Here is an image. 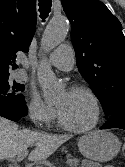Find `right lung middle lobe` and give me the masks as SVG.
Returning <instances> with one entry per match:
<instances>
[{
	"label": "right lung middle lobe",
	"instance_id": "dd1d6c3e",
	"mask_svg": "<svg viewBox=\"0 0 125 167\" xmlns=\"http://www.w3.org/2000/svg\"><path fill=\"white\" fill-rule=\"evenodd\" d=\"M24 90V85L17 83L9 78V74L0 75V99H5L10 102H23L21 91Z\"/></svg>",
	"mask_w": 125,
	"mask_h": 167
}]
</instances>
